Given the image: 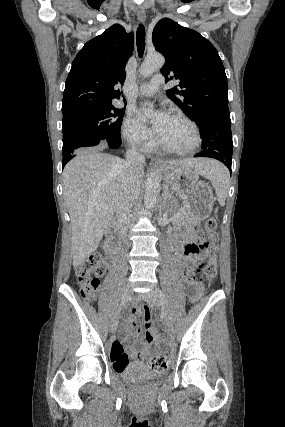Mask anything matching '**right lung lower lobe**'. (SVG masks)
I'll return each instance as SVG.
<instances>
[{
    "mask_svg": "<svg viewBox=\"0 0 285 427\" xmlns=\"http://www.w3.org/2000/svg\"><path fill=\"white\" fill-rule=\"evenodd\" d=\"M84 151H86V150H85V149H81V150H79V151H77V152H74V153H72V154H69V155H67V156H64V157H63V161H62V167H64V166L66 165V163H67L70 159H72L74 156H76V155H78L79 153L84 152Z\"/></svg>",
    "mask_w": 285,
    "mask_h": 427,
    "instance_id": "right-lung-lower-lobe-1",
    "label": "right lung lower lobe"
}]
</instances>
